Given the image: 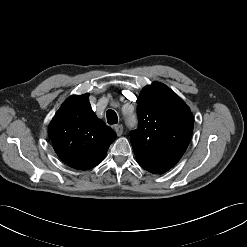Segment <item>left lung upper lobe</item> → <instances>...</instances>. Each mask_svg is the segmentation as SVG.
<instances>
[{
    "instance_id": "1",
    "label": "left lung upper lobe",
    "mask_w": 247,
    "mask_h": 247,
    "mask_svg": "<svg viewBox=\"0 0 247 247\" xmlns=\"http://www.w3.org/2000/svg\"><path fill=\"white\" fill-rule=\"evenodd\" d=\"M138 113V128L130 133L136 160L151 173H163L184 154L193 132V115L178 95L158 82L141 91Z\"/></svg>"
}]
</instances>
